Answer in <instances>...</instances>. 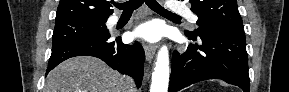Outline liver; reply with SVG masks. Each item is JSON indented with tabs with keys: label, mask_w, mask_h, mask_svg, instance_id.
Segmentation results:
<instances>
[{
	"label": "liver",
	"mask_w": 289,
	"mask_h": 92,
	"mask_svg": "<svg viewBox=\"0 0 289 92\" xmlns=\"http://www.w3.org/2000/svg\"><path fill=\"white\" fill-rule=\"evenodd\" d=\"M44 92H135L126 76L94 57L68 59L50 71Z\"/></svg>",
	"instance_id": "liver-1"
}]
</instances>
